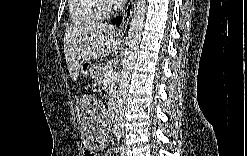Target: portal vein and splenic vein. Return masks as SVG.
Returning a JSON list of instances; mask_svg holds the SVG:
<instances>
[{"label": "portal vein and splenic vein", "mask_w": 247, "mask_h": 156, "mask_svg": "<svg viewBox=\"0 0 247 156\" xmlns=\"http://www.w3.org/2000/svg\"><path fill=\"white\" fill-rule=\"evenodd\" d=\"M111 76H113V70L112 69H107L105 71V80H108Z\"/></svg>", "instance_id": "1"}]
</instances>
